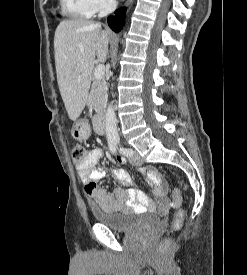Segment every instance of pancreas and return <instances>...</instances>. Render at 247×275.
Returning <instances> with one entry per match:
<instances>
[{
  "label": "pancreas",
  "instance_id": "cf45deb5",
  "mask_svg": "<svg viewBox=\"0 0 247 275\" xmlns=\"http://www.w3.org/2000/svg\"><path fill=\"white\" fill-rule=\"evenodd\" d=\"M107 85L104 79H96L91 87L88 105L93 107L97 114L102 113L107 105Z\"/></svg>",
  "mask_w": 247,
  "mask_h": 275
}]
</instances>
